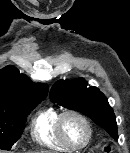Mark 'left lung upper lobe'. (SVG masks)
<instances>
[{"mask_svg": "<svg viewBox=\"0 0 130 153\" xmlns=\"http://www.w3.org/2000/svg\"><path fill=\"white\" fill-rule=\"evenodd\" d=\"M50 96L59 105L83 113L118 139L116 117L104 94L94 86L87 87L83 78L57 81Z\"/></svg>", "mask_w": 130, "mask_h": 153, "instance_id": "1", "label": "left lung upper lobe"}]
</instances>
